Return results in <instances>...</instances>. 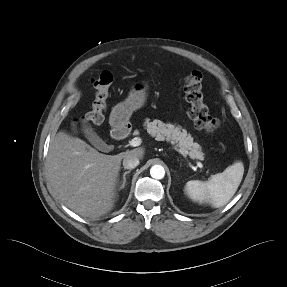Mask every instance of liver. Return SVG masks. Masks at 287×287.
I'll use <instances>...</instances> for the list:
<instances>
[{
  "instance_id": "liver-1",
  "label": "liver",
  "mask_w": 287,
  "mask_h": 287,
  "mask_svg": "<svg viewBox=\"0 0 287 287\" xmlns=\"http://www.w3.org/2000/svg\"><path fill=\"white\" fill-rule=\"evenodd\" d=\"M127 154L143 158L144 148L106 155L60 131L51 141L47 157L51 190L75 213L96 219L114 207L121 161Z\"/></svg>"
}]
</instances>
